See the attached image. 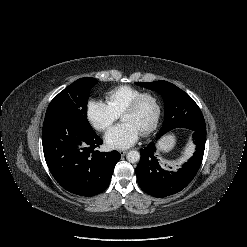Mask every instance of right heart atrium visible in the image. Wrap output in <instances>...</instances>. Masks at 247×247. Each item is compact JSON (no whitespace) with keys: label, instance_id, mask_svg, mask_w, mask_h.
<instances>
[{"label":"right heart atrium","instance_id":"obj_1","mask_svg":"<svg viewBox=\"0 0 247 247\" xmlns=\"http://www.w3.org/2000/svg\"><path fill=\"white\" fill-rule=\"evenodd\" d=\"M86 117L98 131L107 130L119 117L105 102L90 99L86 104Z\"/></svg>","mask_w":247,"mask_h":247}]
</instances>
